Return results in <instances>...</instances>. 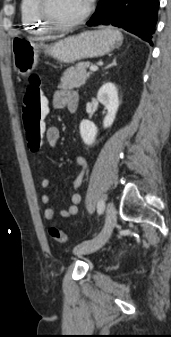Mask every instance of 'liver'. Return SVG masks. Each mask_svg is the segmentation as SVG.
Returning <instances> with one entry per match:
<instances>
[{"instance_id":"6515ba94","label":"liver","mask_w":171,"mask_h":337,"mask_svg":"<svg viewBox=\"0 0 171 337\" xmlns=\"http://www.w3.org/2000/svg\"><path fill=\"white\" fill-rule=\"evenodd\" d=\"M53 37H39V38H32L31 40H49V39H52Z\"/></svg>"}]
</instances>
